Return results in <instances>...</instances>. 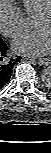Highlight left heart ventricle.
I'll use <instances>...</instances> for the list:
<instances>
[{
    "label": "left heart ventricle",
    "mask_w": 51,
    "mask_h": 153,
    "mask_svg": "<svg viewBox=\"0 0 51 153\" xmlns=\"http://www.w3.org/2000/svg\"><path fill=\"white\" fill-rule=\"evenodd\" d=\"M34 27L36 29H45L48 32H51V18L49 17L35 18Z\"/></svg>",
    "instance_id": "obj_1"
}]
</instances>
